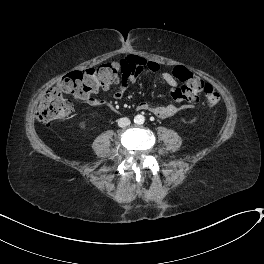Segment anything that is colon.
Instances as JSON below:
<instances>
[{
  "label": "colon",
  "mask_w": 264,
  "mask_h": 264,
  "mask_svg": "<svg viewBox=\"0 0 264 264\" xmlns=\"http://www.w3.org/2000/svg\"><path fill=\"white\" fill-rule=\"evenodd\" d=\"M124 66V60L107 61L95 68L72 71L62 76L43 94L37 108V118L48 125L69 116L76 102L109 85ZM173 75L183 83V86L171 91L174 101L192 102L202 87L208 105L214 106L219 102L220 95L217 90L209 84L202 85V81L186 69L177 67L173 70Z\"/></svg>",
  "instance_id": "obj_1"
}]
</instances>
